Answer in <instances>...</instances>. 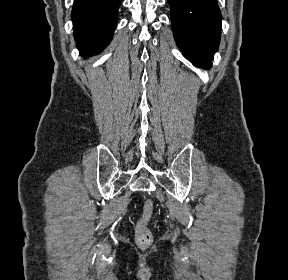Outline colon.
Instances as JSON below:
<instances>
[{"label":"colon","mask_w":288,"mask_h":280,"mask_svg":"<svg viewBox=\"0 0 288 280\" xmlns=\"http://www.w3.org/2000/svg\"><path fill=\"white\" fill-rule=\"evenodd\" d=\"M154 211L152 200H146L143 206L142 214L135 227L136 241L141 246H147L152 241V234L148 227L149 220Z\"/></svg>","instance_id":"obj_1"}]
</instances>
